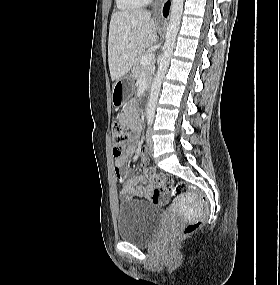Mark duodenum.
<instances>
[{"mask_svg":"<svg viewBox=\"0 0 280 285\" xmlns=\"http://www.w3.org/2000/svg\"><path fill=\"white\" fill-rule=\"evenodd\" d=\"M146 92H147V93L150 92V89L148 88V89L146 90Z\"/></svg>","mask_w":280,"mask_h":285,"instance_id":"410a0bca","label":"duodenum"}]
</instances>
